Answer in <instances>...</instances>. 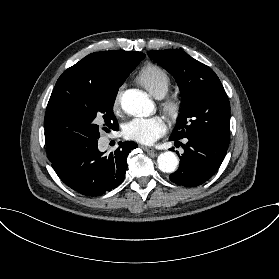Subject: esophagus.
I'll return each instance as SVG.
<instances>
[{
    "mask_svg": "<svg viewBox=\"0 0 279 279\" xmlns=\"http://www.w3.org/2000/svg\"><path fill=\"white\" fill-rule=\"evenodd\" d=\"M145 152H147L152 157L155 156V150L151 146L139 145Z\"/></svg>",
    "mask_w": 279,
    "mask_h": 279,
    "instance_id": "34e87169",
    "label": "esophagus"
}]
</instances>
